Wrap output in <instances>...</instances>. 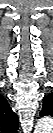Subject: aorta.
<instances>
[{
    "instance_id": "obj_1",
    "label": "aorta",
    "mask_w": 53,
    "mask_h": 133,
    "mask_svg": "<svg viewBox=\"0 0 53 133\" xmlns=\"http://www.w3.org/2000/svg\"><path fill=\"white\" fill-rule=\"evenodd\" d=\"M48 122L49 120L47 118L43 119V120H40L38 123H37V126H36V131L39 132L41 131L44 127H46V125H48Z\"/></svg>"
}]
</instances>
